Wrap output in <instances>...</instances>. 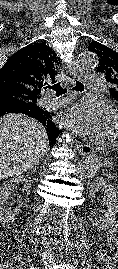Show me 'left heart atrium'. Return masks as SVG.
Wrapping results in <instances>:
<instances>
[{
    "label": "left heart atrium",
    "mask_w": 118,
    "mask_h": 269,
    "mask_svg": "<svg viewBox=\"0 0 118 269\" xmlns=\"http://www.w3.org/2000/svg\"><path fill=\"white\" fill-rule=\"evenodd\" d=\"M113 116L105 103L82 101L72 108L68 120L81 135L102 138L109 134Z\"/></svg>",
    "instance_id": "left-heart-atrium-1"
}]
</instances>
